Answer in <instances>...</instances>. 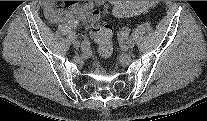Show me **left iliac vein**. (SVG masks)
I'll use <instances>...</instances> for the list:
<instances>
[{"label":"left iliac vein","instance_id":"obj_1","mask_svg":"<svg viewBox=\"0 0 207 121\" xmlns=\"http://www.w3.org/2000/svg\"><path fill=\"white\" fill-rule=\"evenodd\" d=\"M134 45H135V42H134V40H129L128 42H127V45H126V47L127 48H132V47H134Z\"/></svg>","mask_w":207,"mask_h":121}]
</instances>
